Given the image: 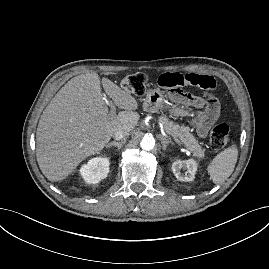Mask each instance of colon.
I'll return each instance as SVG.
<instances>
[{"label": "colon", "mask_w": 269, "mask_h": 269, "mask_svg": "<svg viewBox=\"0 0 269 269\" xmlns=\"http://www.w3.org/2000/svg\"><path fill=\"white\" fill-rule=\"evenodd\" d=\"M167 74V73H165ZM211 79H213L211 77ZM214 80V79H213ZM148 78L145 74L136 73L126 76L122 82L121 87L126 92L143 95L146 91ZM165 88V87H163ZM202 98L212 103H219L221 101V94L213 89H204L202 91ZM230 129L227 124H219L213 127L209 134V142L214 150L224 148L229 141Z\"/></svg>", "instance_id": "obj_1"}]
</instances>
